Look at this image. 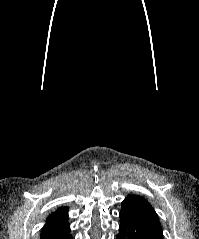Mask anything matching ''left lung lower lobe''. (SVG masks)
Wrapping results in <instances>:
<instances>
[{"label": "left lung lower lobe", "instance_id": "0a47b994", "mask_svg": "<svg viewBox=\"0 0 199 239\" xmlns=\"http://www.w3.org/2000/svg\"><path fill=\"white\" fill-rule=\"evenodd\" d=\"M119 233L116 239H164L152 223L126 211H120Z\"/></svg>", "mask_w": 199, "mask_h": 239}]
</instances>
